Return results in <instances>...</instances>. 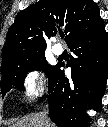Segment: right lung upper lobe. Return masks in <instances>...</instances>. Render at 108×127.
Masks as SVG:
<instances>
[{
  "label": "right lung upper lobe",
  "mask_w": 108,
  "mask_h": 127,
  "mask_svg": "<svg viewBox=\"0 0 108 127\" xmlns=\"http://www.w3.org/2000/svg\"><path fill=\"white\" fill-rule=\"evenodd\" d=\"M93 0H40L20 11L10 27L2 64L43 54L46 39L64 29L67 44L100 18Z\"/></svg>",
  "instance_id": "obj_1"
}]
</instances>
